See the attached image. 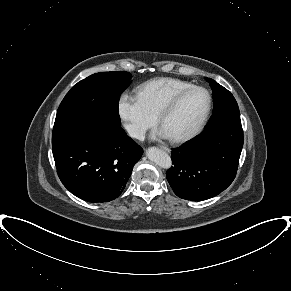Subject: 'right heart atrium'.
Returning a JSON list of instances; mask_svg holds the SVG:
<instances>
[{
	"label": "right heart atrium",
	"instance_id": "right-heart-atrium-1",
	"mask_svg": "<svg viewBox=\"0 0 291 291\" xmlns=\"http://www.w3.org/2000/svg\"><path fill=\"white\" fill-rule=\"evenodd\" d=\"M118 112L132 138L142 139L146 131L156 125V118L147 111L137 96L122 94L118 101Z\"/></svg>",
	"mask_w": 291,
	"mask_h": 291
}]
</instances>
